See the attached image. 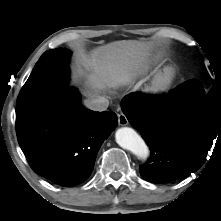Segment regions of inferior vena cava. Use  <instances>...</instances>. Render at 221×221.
<instances>
[{
	"instance_id": "602c4592",
	"label": "inferior vena cava",
	"mask_w": 221,
	"mask_h": 221,
	"mask_svg": "<svg viewBox=\"0 0 221 221\" xmlns=\"http://www.w3.org/2000/svg\"><path fill=\"white\" fill-rule=\"evenodd\" d=\"M85 106L93 111H105L109 106V100L103 96H93L85 100Z\"/></svg>"
}]
</instances>
